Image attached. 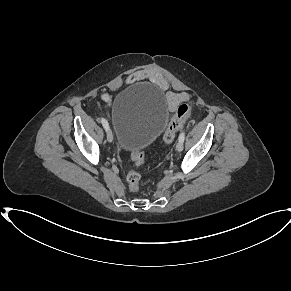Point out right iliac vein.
Wrapping results in <instances>:
<instances>
[{
    "instance_id": "63e3f726",
    "label": "right iliac vein",
    "mask_w": 291,
    "mask_h": 291,
    "mask_svg": "<svg viewBox=\"0 0 291 291\" xmlns=\"http://www.w3.org/2000/svg\"><path fill=\"white\" fill-rule=\"evenodd\" d=\"M106 137H107V140L109 142L113 141V134H112V131L109 128L106 130Z\"/></svg>"
}]
</instances>
